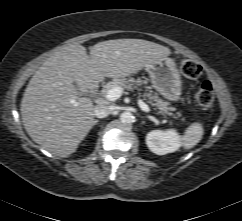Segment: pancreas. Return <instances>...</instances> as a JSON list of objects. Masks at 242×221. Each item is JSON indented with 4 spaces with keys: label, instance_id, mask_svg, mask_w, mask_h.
Instances as JSON below:
<instances>
[{
    "label": "pancreas",
    "instance_id": "obj_1",
    "mask_svg": "<svg viewBox=\"0 0 242 221\" xmlns=\"http://www.w3.org/2000/svg\"><path fill=\"white\" fill-rule=\"evenodd\" d=\"M146 82H143L141 79L135 80L134 78H121V79H113V81L108 82L103 90V96L106 95L107 91L114 88L120 87L122 90L133 91L134 89L141 90L139 87ZM145 94L143 95L144 99L147 100V103L154 106L155 110L158 111V114H165L168 116H172L175 119H178L182 116L181 112H177L176 114L173 111L176 110L175 107L169 106L167 101L161 99L156 92L151 90V87L145 86Z\"/></svg>",
    "mask_w": 242,
    "mask_h": 221
}]
</instances>
